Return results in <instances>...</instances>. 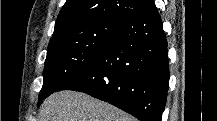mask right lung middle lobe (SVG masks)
I'll return each mask as SVG.
<instances>
[{
	"instance_id": "1",
	"label": "right lung middle lobe",
	"mask_w": 217,
	"mask_h": 121,
	"mask_svg": "<svg viewBox=\"0 0 217 121\" xmlns=\"http://www.w3.org/2000/svg\"><path fill=\"white\" fill-rule=\"evenodd\" d=\"M125 22L99 19L78 24L51 41L38 105L68 79L90 65Z\"/></svg>"
}]
</instances>
